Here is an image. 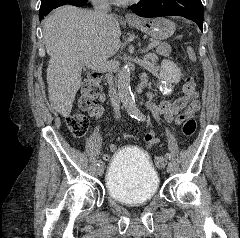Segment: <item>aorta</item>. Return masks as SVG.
I'll list each match as a JSON object with an SVG mask.
<instances>
[{
    "label": "aorta",
    "mask_w": 240,
    "mask_h": 238,
    "mask_svg": "<svg viewBox=\"0 0 240 238\" xmlns=\"http://www.w3.org/2000/svg\"><path fill=\"white\" fill-rule=\"evenodd\" d=\"M131 67L124 65L118 74V93L123 106L130 116L139 114V109L130 87Z\"/></svg>",
    "instance_id": "762f6f07"
}]
</instances>
